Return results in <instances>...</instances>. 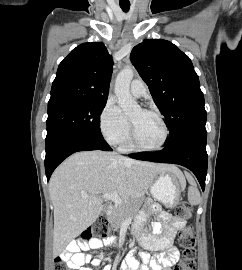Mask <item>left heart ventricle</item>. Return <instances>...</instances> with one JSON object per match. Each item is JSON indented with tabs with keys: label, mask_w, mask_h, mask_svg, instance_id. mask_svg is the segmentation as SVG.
<instances>
[{
	"label": "left heart ventricle",
	"mask_w": 242,
	"mask_h": 270,
	"mask_svg": "<svg viewBox=\"0 0 242 270\" xmlns=\"http://www.w3.org/2000/svg\"><path fill=\"white\" fill-rule=\"evenodd\" d=\"M129 119L135 127L137 140L140 144L154 146L162 140L163 128L155 115L137 109L130 115Z\"/></svg>",
	"instance_id": "left-heart-ventricle-1"
}]
</instances>
